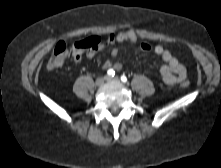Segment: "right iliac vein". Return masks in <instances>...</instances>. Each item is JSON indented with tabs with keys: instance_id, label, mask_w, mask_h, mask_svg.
<instances>
[{
	"instance_id": "obj_1",
	"label": "right iliac vein",
	"mask_w": 221,
	"mask_h": 168,
	"mask_svg": "<svg viewBox=\"0 0 221 168\" xmlns=\"http://www.w3.org/2000/svg\"><path fill=\"white\" fill-rule=\"evenodd\" d=\"M105 80H106V77L97 78L95 81L96 86H98V87L102 86L104 84Z\"/></svg>"
}]
</instances>
